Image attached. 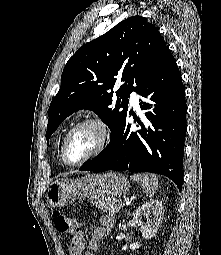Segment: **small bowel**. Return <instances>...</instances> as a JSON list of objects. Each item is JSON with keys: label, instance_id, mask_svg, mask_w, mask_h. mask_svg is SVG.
Wrapping results in <instances>:
<instances>
[{"label": "small bowel", "instance_id": "obj_1", "mask_svg": "<svg viewBox=\"0 0 221 255\" xmlns=\"http://www.w3.org/2000/svg\"><path fill=\"white\" fill-rule=\"evenodd\" d=\"M113 226V217L103 215L99 218L98 225L93 229L87 241L82 230L73 234L69 255H92L91 251L97 249L99 241L112 230ZM85 248L87 251L84 252Z\"/></svg>", "mask_w": 221, "mask_h": 255}]
</instances>
